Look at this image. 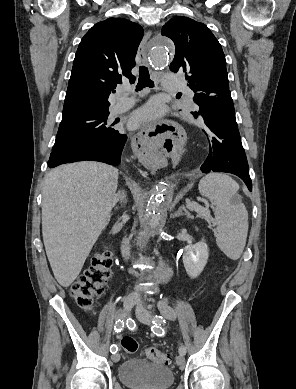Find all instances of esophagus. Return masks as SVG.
<instances>
[{
	"label": "esophagus",
	"instance_id": "34e87169",
	"mask_svg": "<svg viewBox=\"0 0 296 389\" xmlns=\"http://www.w3.org/2000/svg\"><path fill=\"white\" fill-rule=\"evenodd\" d=\"M151 31H147L139 45L137 52V62L148 66L147 43L150 39ZM183 129V120L181 118L154 119L152 126H146L140 129L137 135L131 139L132 147L135 150L139 163L143 164L145 169H164L166 159L161 150H157V139H173L177 131Z\"/></svg>",
	"mask_w": 296,
	"mask_h": 389
}]
</instances>
